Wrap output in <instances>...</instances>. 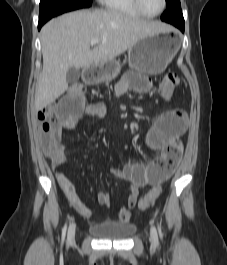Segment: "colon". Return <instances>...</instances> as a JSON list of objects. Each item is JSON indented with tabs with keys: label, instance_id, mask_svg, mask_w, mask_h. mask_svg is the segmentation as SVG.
<instances>
[{
	"label": "colon",
	"instance_id": "1",
	"mask_svg": "<svg viewBox=\"0 0 227 265\" xmlns=\"http://www.w3.org/2000/svg\"><path fill=\"white\" fill-rule=\"evenodd\" d=\"M181 85L182 79L180 78V76L175 72H168L160 85L161 96L165 99H170L172 97L173 91ZM72 87H79V91H84V88L81 84H75L71 86L68 91H72ZM56 105L58 104L46 106L38 113V119L41 124V128L46 133H49L51 129V121L53 120L54 113L56 111ZM48 143L49 136L45 138L43 145L45 146ZM180 156V150H168L165 154L159 157V165L166 171L172 172L176 168ZM160 194V185L154 186L143 198H141V200L139 201V207L141 209H146L150 207L158 199Z\"/></svg>",
	"mask_w": 227,
	"mask_h": 265
}]
</instances>
